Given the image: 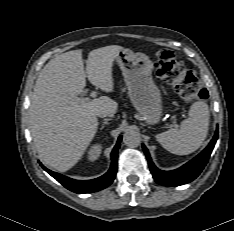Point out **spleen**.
Wrapping results in <instances>:
<instances>
[{
	"mask_svg": "<svg viewBox=\"0 0 234 231\" xmlns=\"http://www.w3.org/2000/svg\"><path fill=\"white\" fill-rule=\"evenodd\" d=\"M188 115L179 128H171L155 136L162 147L173 154L188 155L196 151L207 136L208 105L204 101H196L191 105Z\"/></svg>",
	"mask_w": 234,
	"mask_h": 231,
	"instance_id": "3e777b00",
	"label": "spleen"
}]
</instances>
